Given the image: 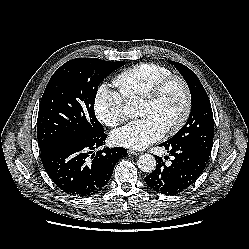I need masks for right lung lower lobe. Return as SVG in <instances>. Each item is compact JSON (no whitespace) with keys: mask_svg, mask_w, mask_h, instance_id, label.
I'll use <instances>...</instances> for the list:
<instances>
[{"mask_svg":"<svg viewBox=\"0 0 249 249\" xmlns=\"http://www.w3.org/2000/svg\"><path fill=\"white\" fill-rule=\"evenodd\" d=\"M106 140L103 133L94 138L68 139L40 150L43 166L53 182L65 193L88 197L110 180L117 161L127 155L122 147L93 150Z\"/></svg>","mask_w":249,"mask_h":249,"instance_id":"right-lung-lower-lobe-1","label":"right lung lower lobe"}]
</instances>
